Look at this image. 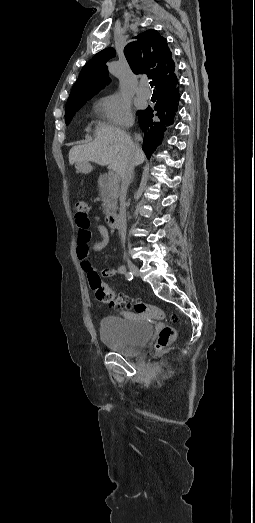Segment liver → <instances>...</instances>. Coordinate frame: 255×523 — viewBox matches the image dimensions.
<instances>
[{"mask_svg":"<svg viewBox=\"0 0 255 523\" xmlns=\"http://www.w3.org/2000/svg\"><path fill=\"white\" fill-rule=\"evenodd\" d=\"M134 142L131 136L114 126H107V124H99L95 130V140L83 146H73L69 152V162L71 166L76 164V170H83L87 168L89 172L92 166L88 162H95L99 166H108L109 170H113L116 174H121L124 170L126 162V154H131L134 160V166L143 164L145 154L137 148L133 150Z\"/></svg>","mask_w":255,"mask_h":523,"instance_id":"6515ba94","label":"liver"}]
</instances>
